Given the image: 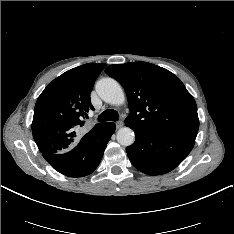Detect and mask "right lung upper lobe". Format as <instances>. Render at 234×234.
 <instances>
[{"instance_id":"1","label":"right lung upper lobe","mask_w":234,"mask_h":234,"mask_svg":"<svg viewBox=\"0 0 234 234\" xmlns=\"http://www.w3.org/2000/svg\"><path fill=\"white\" fill-rule=\"evenodd\" d=\"M105 66L89 63L73 68L44 89L37 99L32 122L33 138L40 152L63 153L77 144L84 125L82 120L94 109L90 92Z\"/></svg>"}]
</instances>
